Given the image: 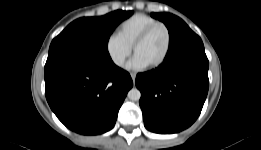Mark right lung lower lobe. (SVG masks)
Instances as JSON below:
<instances>
[{"label": "right lung lower lobe", "instance_id": "right-lung-lower-lobe-1", "mask_svg": "<svg viewBox=\"0 0 261 150\" xmlns=\"http://www.w3.org/2000/svg\"><path fill=\"white\" fill-rule=\"evenodd\" d=\"M46 99L69 129L97 135L115 125L132 79L110 57L71 54L48 57L44 68Z\"/></svg>", "mask_w": 261, "mask_h": 150}]
</instances>
